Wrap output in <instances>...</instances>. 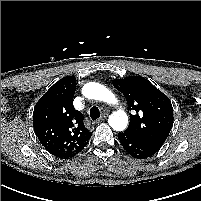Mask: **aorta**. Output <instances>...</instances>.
Returning a JSON list of instances; mask_svg holds the SVG:
<instances>
[{
	"instance_id": "obj_1",
	"label": "aorta",
	"mask_w": 201,
	"mask_h": 201,
	"mask_svg": "<svg viewBox=\"0 0 201 201\" xmlns=\"http://www.w3.org/2000/svg\"><path fill=\"white\" fill-rule=\"evenodd\" d=\"M82 93L86 98L105 102L110 105L118 104L115 95L105 86L90 82L84 85ZM109 125L116 131H123L128 125V116L123 110L113 112L108 120Z\"/></svg>"
}]
</instances>
